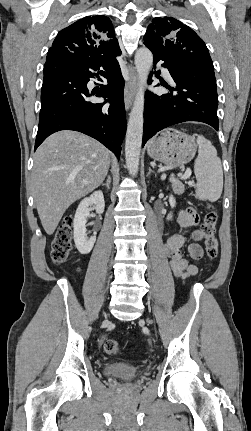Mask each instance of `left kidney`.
<instances>
[{"label": "left kidney", "mask_w": 251, "mask_h": 431, "mask_svg": "<svg viewBox=\"0 0 251 431\" xmlns=\"http://www.w3.org/2000/svg\"><path fill=\"white\" fill-rule=\"evenodd\" d=\"M169 203H170V206H171L172 208H174V207H175V205H176L175 198H174L172 195H170V197H169ZM167 219H168V220H171V219H172V214H169V215H168V217H167Z\"/></svg>", "instance_id": "1"}]
</instances>
